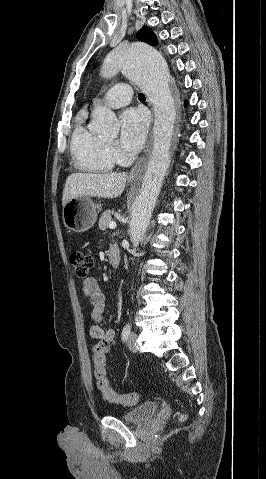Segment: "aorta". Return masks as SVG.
Instances as JSON below:
<instances>
[{
    "instance_id": "aorta-1",
    "label": "aorta",
    "mask_w": 266,
    "mask_h": 479,
    "mask_svg": "<svg viewBox=\"0 0 266 479\" xmlns=\"http://www.w3.org/2000/svg\"><path fill=\"white\" fill-rule=\"evenodd\" d=\"M123 70L137 83L154 105L152 149L148 155L140 183L130 201V232L138 242L145 234L170 163V145L176 121V103L171 92V76L166 61L151 46L135 42L117 47L105 58L102 75L110 78ZM95 132L115 135L119 127L116 116L106 108L93 114Z\"/></svg>"
}]
</instances>
